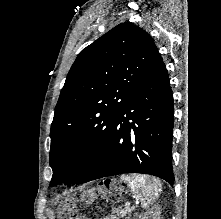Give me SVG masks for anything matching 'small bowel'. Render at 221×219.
Returning a JSON list of instances; mask_svg holds the SVG:
<instances>
[{"label": "small bowel", "instance_id": "small-bowel-1", "mask_svg": "<svg viewBox=\"0 0 221 219\" xmlns=\"http://www.w3.org/2000/svg\"><path fill=\"white\" fill-rule=\"evenodd\" d=\"M105 219H113V218H105Z\"/></svg>", "mask_w": 221, "mask_h": 219}]
</instances>
